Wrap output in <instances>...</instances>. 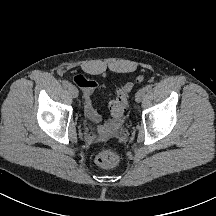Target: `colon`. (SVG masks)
I'll use <instances>...</instances> for the list:
<instances>
[{
    "instance_id": "obj_1",
    "label": "colon",
    "mask_w": 216,
    "mask_h": 216,
    "mask_svg": "<svg viewBox=\"0 0 216 216\" xmlns=\"http://www.w3.org/2000/svg\"><path fill=\"white\" fill-rule=\"evenodd\" d=\"M79 78V77H77ZM142 78L138 77L133 82L126 83L122 85L117 90V96L116 98L110 102V111L113 117L117 120H121L124 116L126 107H127V99L128 94L134 84L136 82L141 81ZM119 162V155L116 151L113 150H106L102 151L95 157V163L104 169L111 168L115 166Z\"/></svg>"
}]
</instances>
